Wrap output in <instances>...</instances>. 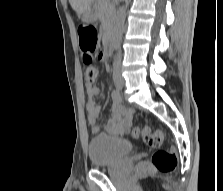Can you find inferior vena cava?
Segmentation results:
<instances>
[{"label":"inferior vena cava","mask_w":223,"mask_h":191,"mask_svg":"<svg viewBox=\"0 0 223 191\" xmlns=\"http://www.w3.org/2000/svg\"><path fill=\"white\" fill-rule=\"evenodd\" d=\"M120 62H121V58H120V53L118 54V58L116 60V62L114 63V70L118 71V69L120 68Z\"/></svg>","instance_id":"602c4592"}]
</instances>
